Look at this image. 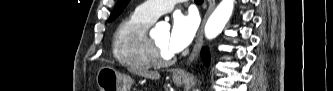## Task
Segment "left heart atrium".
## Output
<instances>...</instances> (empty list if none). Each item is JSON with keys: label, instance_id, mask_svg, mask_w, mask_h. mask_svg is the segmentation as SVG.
Masks as SVG:
<instances>
[{"label": "left heart atrium", "instance_id": "39dd6f15", "mask_svg": "<svg viewBox=\"0 0 333 91\" xmlns=\"http://www.w3.org/2000/svg\"><path fill=\"white\" fill-rule=\"evenodd\" d=\"M197 28L198 18L195 15H175L168 36L169 51L176 54L184 50L192 42Z\"/></svg>", "mask_w": 333, "mask_h": 91}]
</instances>
